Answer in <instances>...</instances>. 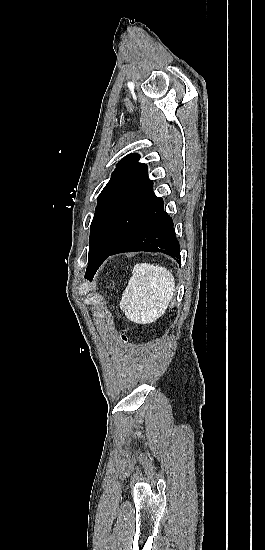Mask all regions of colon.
<instances>
[{
  "label": "colon",
  "mask_w": 265,
  "mask_h": 550,
  "mask_svg": "<svg viewBox=\"0 0 265 550\" xmlns=\"http://www.w3.org/2000/svg\"><path fill=\"white\" fill-rule=\"evenodd\" d=\"M122 340H123L124 342H127V341H128V337L125 336V335H123V336H122Z\"/></svg>",
  "instance_id": "obj_1"
}]
</instances>
